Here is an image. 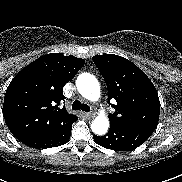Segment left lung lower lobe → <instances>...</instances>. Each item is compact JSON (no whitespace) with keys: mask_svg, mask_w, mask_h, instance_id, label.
<instances>
[{"mask_svg":"<svg viewBox=\"0 0 182 182\" xmlns=\"http://www.w3.org/2000/svg\"><path fill=\"white\" fill-rule=\"evenodd\" d=\"M152 131L126 125L110 124V130L104 136L94 135V141L108 149L129 151L139 147L151 135Z\"/></svg>","mask_w":182,"mask_h":182,"instance_id":"left-lung-lower-lobe-1","label":"left lung lower lobe"}]
</instances>
